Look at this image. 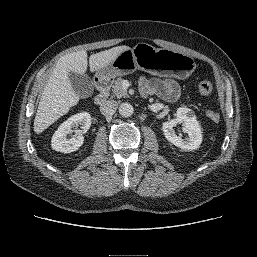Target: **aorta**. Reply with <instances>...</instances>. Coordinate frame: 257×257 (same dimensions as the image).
<instances>
[{"instance_id": "1", "label": "aorta", "mask_w": 257, "mask_h": 257, "mask_svg": "<svg viewBox=\"0 0 257 257\" xmlns=\"http://www.w3.org/2000/svg\"><path fill=\"white\" fill-rule=\"evenodd\" d=\"M133 112L134 108L130 103L124 102L120 104L119 113L122 117H130L131 115H133Z\"/></svg>"}]
</instances>
